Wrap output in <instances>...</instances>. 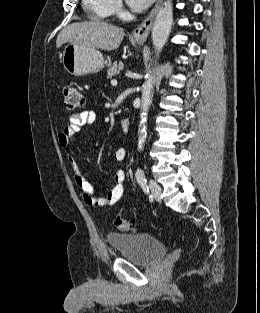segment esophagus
<instances>
[{
	"mask_svg": "<svg viewBox=\"0 0 260 313\" xmlns=\"http://www.w3.org/2000/svg\"><path fill=\"white\" fill-rule=\"evenodd\" d=\"M162 1L163 0H157L155 6L153 7L149 15L144 19V21L137 28L134 29L132 35L136 41L138 42L146 41L147 37L149 36L151 32V29L155 20V16L162 4Z\"/></svg>",
	"mask_w": 260,
	"mask_h": 313,
	"instance_id": "esophagus-1",
	"label": "esophagus"
}]
</instances>
